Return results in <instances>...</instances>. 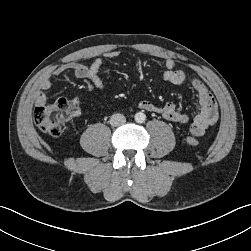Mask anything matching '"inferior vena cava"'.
<instances>
[{
	"mask_svg": "<svg viewBox=\"0 0 251 251\" xmlns=\"http://www.w3.org/2000/svg\"><path fill=\"white\" fill-rule=\"evenodd\" d=\"M125 122H126V118L122 114L117 113V114H113L110 117L111 126L117 127V126L123 125Z\"/></svg>",
	"mask_w": 251,
	"mask_h": 251,
	"instance_id": "obj_1",
	"label": "inferior vena cava"
}]
</instances>
